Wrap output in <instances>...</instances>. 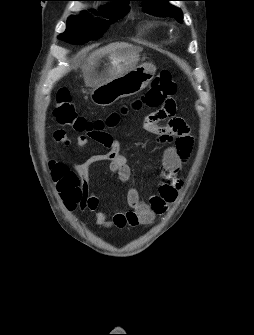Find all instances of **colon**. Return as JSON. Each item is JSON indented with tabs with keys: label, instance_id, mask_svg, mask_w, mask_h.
Listing matches in <instances>:
<instances>
[{
	"label": "colon",
	"instance_id": "1",
	"mask_svg": "<svg viewBox=\"0 0 254 335\" xmlns=\"http://www.w3.org/2000/svg\"><path fill=\"white\" fill-rule=\"evenodd\" d=\"M176 89L177 84L172 78L171 73L168 70H162L154 79L150 88L134 106L135 108H141L143 106L151 109L162 108L164 99L174 96ZM53 114L61 126L68 127L76 132L84 133L86 135H92L103 142L108 140L109 134L105 131L106 127L114 126L120 117L118 114L114 113L107 121L87 120L77 112L76 107L72 102L70 92L66 88H61L57 92ZM58 168L62 171H66L62 164H59ZM72 196L76 201L81 199L82 193L79 187Z\"/></svg>",
	"mask_w": 254,
	"mask_h": 335
}]
</instances>
